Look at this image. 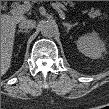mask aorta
I'll return each mask as SVG.
<instances>
[{
  "mask_svg": "<svg viewBox=\"0 0 109 109\" xmlns=\"http://www.w3.org/2000/svg\"><path fill=\"white\" fill-rule=\"evenodd\" d=\"M40 31L44 37L50 38L56 35L58 26L54 22L45 21L41 23Z\"/></svg>",
  "mask_w": 109,
  "mask_h": 109,
  "instance_id": "1",
  "label": "aorta"
}]
</instances>
